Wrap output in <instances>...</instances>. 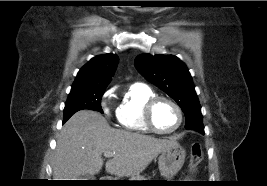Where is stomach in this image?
<instances>
[{
  "mask_svg": "<svg viewBox=\"0 0 267 186\" xmlns=\"http://www.w3.org/2000/svg\"><path fill=\"white\" fill-rule=\"evenodd\" d=\"M185 157L186 152L178 143L163 150L158 158L161 175L166 179H172L182 168Z\"/></svg>",
  "mask_w": 267,
  "mask_h": 186,
  "instance_id": "1",
  "label": "stomach"
}]
</instances>
